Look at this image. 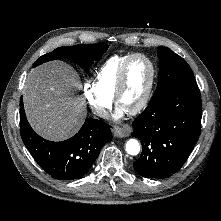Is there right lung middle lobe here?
<instances>
[{"label":"right lung middle lobe","instance_id":"obj_1","mask_svg":"<svg viewBox=\"0 0 221 221\" xmlns=\"http://www.w3.org/2000/svg\"><path fill=\"white\" fill-rule=\"evenodd\" d=\"M108 45L106 43H99L95 45H74L69 47H59L52 52L41 56L35 63L34 67L59 58H67L77 63L78 65L86 68L99 59L107 50Z\"/></svg>","mask_w":221,"mask_h":221}]
</instances>
